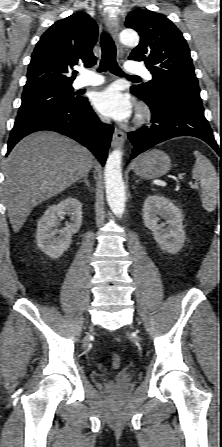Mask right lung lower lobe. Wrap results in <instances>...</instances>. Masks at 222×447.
I'll return each mask as SVG.
<instances>
[{
    "mask_svg": "<svg viewBox=\"0 0 222 447\" xmlns=\"http://www.w3.org/2000/svg\"><path fill=\"white\" fill-rule=\"evenodd\" d=\"M41 130L55 131L78 141L104 165L114 128L101 124L87 98L80 97L69 105L16 118L8 141L7 155L23 137Z\"/></svg>",
    "mask_w": 222,
    "mask_h": 447,
    "instance_id": "obj_1",
    "label": "right lung lower lobe"
}]
</instances>
